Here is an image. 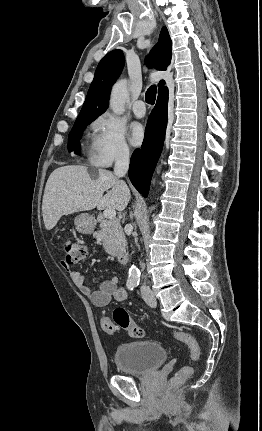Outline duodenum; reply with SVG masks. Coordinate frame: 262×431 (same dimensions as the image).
<instances>
[{
    "instance_id": "obj_1",
    "label": "duodenum",
    "mask_w": 262,
    "mask_h": 431,
    "mask_svg": "<svg viewBox=\"0 0 262 431\" xmlns=\"http://www.w3.org/2000/svg\"><path fill=\"white\" fill-rule=\"evenodd\" d=\"M117 260L120 264H127L129 262V256L126 252H121L117 255Z\"/></svg>"
}]
</instances>
